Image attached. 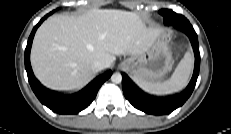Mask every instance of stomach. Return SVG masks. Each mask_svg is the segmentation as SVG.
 Masks as SVG:
<instances>
[{"label": "stomach", "mask_w": 231, "mask_h": 134, "mask_svg": "<svg viewBox=\"0 0 231 134\" xmlns=\"http://www.w3.org/2000/svg\"><path fill=\"white\" fill-rule=\"evenodd\" d=\"M171 36L170 31H162L146 51L126 58L121 68L136 81H159L172 67V51L169 47Z\"/></svg>", "instance_id": "obj_1"}]
</instances>
